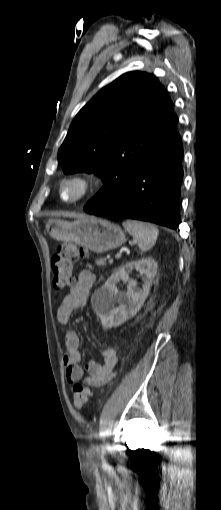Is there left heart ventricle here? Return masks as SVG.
<instances>
[{
	"label": "left heart ventricle",
	"instance_id": "b2bd125f",
	"mask_svg": "<svg viewBox=\"0 0 221 510\" xmlns=\"http://www.w3.org/2000/svg\"><path fill=\"white\" fill-rule=\"evenodd\" d=\"M79 188L76 185H70L64 191L65 198H73L77 195Z\"/></svg>",
	"mask_w": 221,
	"mask_h": 510
}]
</instances>
